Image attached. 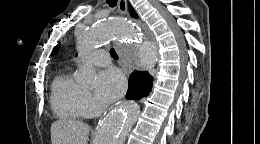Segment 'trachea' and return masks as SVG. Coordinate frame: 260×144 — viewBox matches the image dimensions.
Segmentation results:
<instances>
[{
  "label": "trachea",
  "instance_id": "trachea-1",
  "mask_svg": "<svg viewBox=\"0 0 260 144\" xmlns=\"http://www.w3.org/2000/svg\"><path fill=\"white\" fill-rule=\"evenodd\" d=\"M107 4L110 6V7H115L116 4H117V0H106ZM110 54L111 56L114 58V59H118V55L116 54V51L114 48H111L110 49Z\"/></svg>",
  "mask_w": 260,
  "mask_h": 144
}]
</instances>
